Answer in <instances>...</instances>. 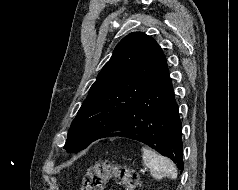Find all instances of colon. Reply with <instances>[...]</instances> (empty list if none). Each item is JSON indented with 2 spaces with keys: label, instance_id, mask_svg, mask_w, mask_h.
Instances as JSON below:
<instances>
[{
  "label": "colon",
  "instance_id": "1",
  "mask_svg": "<svg viewBox=\"0 0 238 190\" xmlns=\"http://www.w3.org/2000/svg\"><path fill=\"white\" fill-rule=\"evenodd\" d=\"M110 179L117 180L125 190H134L138 184V174L133 169L104 160L88 169L82 190H103Z\"/></svg>",
  "mask_w": 238,
  "mask_h": 190
}]
</instances>
